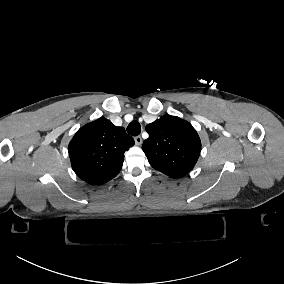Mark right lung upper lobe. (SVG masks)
<instances>
[{"label":"right lung upper lobe","instance_id":"cb5924a9","mask_svg":"<svg viewBox=\"0 0 284 284\" xmlns=\"http://www.w3.org/2000/svg\"><path fill=\"white\" fill-rule=\"evenodd\" d=\"M134 145V139L123 127H117L104 117L81 127L68 146L75 173L89 184H103L121 170L124 152Z\"/></svg>","mask_w":284,"mask_h":284}]
</instances>
